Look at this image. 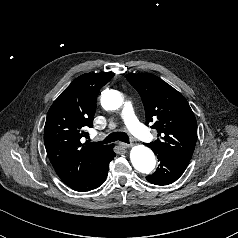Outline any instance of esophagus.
I'll list each match as a JSON object with an SVG mask.
<instances>
[{
    "label": "esophagus",
    "instance_id": "34e87169",
    "mask_svg": "<svg viewBox=\"0 0 238 238\" xmlns=\"http://www.w3.org/2000/svg\"><path fill=\"white\" fill-rule=\"evenodd\" d=\"M119 145L124 149L130 148L132 146V144H127V143H124V142H120Z\"/></svg>",
    "mask_w": 238,
    "mask_h": 238
}]
</instances>
